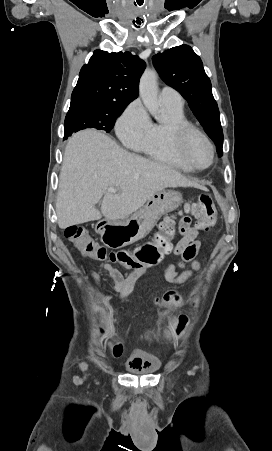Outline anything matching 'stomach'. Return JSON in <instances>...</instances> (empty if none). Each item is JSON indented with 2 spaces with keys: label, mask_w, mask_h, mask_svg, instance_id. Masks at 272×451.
I'll list each match as a JSON object with an SVG mask.
<instances>
[{
  "label": "stomach",
  "mask_w": 272,
  "mask_h": 451,
  "mask_svg": "<svg viewBox=\"0 0 272 451\" xmlns=\"http://www.w3.org/2000/svg\"><path fill=\"white\" fill-rule=\"evenodd\" d=\"M182 204V194L175 190H160L128 220L113 222L103 227L101 241L107 247L118 249L145 237L156 226L161 216L177 210Z\"/></svg>",
  "instance_id": "0dacf381"
}]
</instances>
